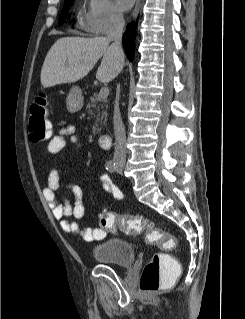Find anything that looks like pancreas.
I'll list each match as a JSON object with an SVG mask.
<instances>
[{"label":"pancreas","mask_w":245,"mask_h":319,"mask_svg":"<svg viewBox=\"0 0 245 319\" xmlns=\"http://www.w3.org/2000/svg\"><path fill=\"white\" fill-rule=\"evenodd\" d=\"M106 100L99 97V95L95 94L93 97L90 98V102L86 105V110L89 114L95 117V110L97 111L95 125L93 126L92 130L93 133H100L101 128L99 127V122L102 123V120H106L107 112L101 111L104 107H107Z\"/></svg>","instance_id":"obj_1"}]
</instances>
